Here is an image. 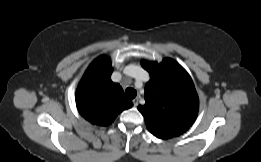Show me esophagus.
<instances>
[{
    "instance_id": "obj_1",
    "label": "esophagus",
    "mask_w": 261,
    "mask_h": 162,
    "mask_svg": "<svg viewBox=\"0 0 261 162\" xmlns=\"http://www.w3.org/2000/svg\"><path fill=\"white\" fill-rule=\"evenodd\" d=\"M133 105L135 106V107H137L138 106V102H139V99L138 98H135V99H133Z\"/></svg>"
}]
</instances>
